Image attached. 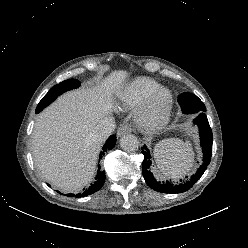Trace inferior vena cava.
<instances>
[{"label":"inferior vena cava","instance_id":"obj_1","mask_svg":"<svg viewBox=\"0 0 248 248\" xmlns=\"http://www.w3.org/2000/svg\"><path fill=\"white\" fill-rule=\"evenodd\" d=\"M115 121L113 117H107L99 123L93 130L92 137L96 142L105 141L115 130Z\"/></svg>","mask_w":248,"mask_h":248}]
</instances>
